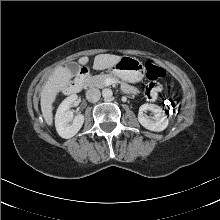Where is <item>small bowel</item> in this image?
I'll list each match as a JSON object with an SVG mask.
<instances>
[{"label":"small bowel","instance_id":"small-bowel-1","mask_svg":"<svg viewBox=\"0 0 220 220\" xmlns=\"http://www.w3.org/2000/svg\"><path fill=\"white\" fill-rule=\"evenodd\" d=\"M162 90L161 86L156 83H149L147 85L146 97L150 100L156 99L158 93Z\"/></svg>","mask_w":220,"mask_h":220}]
</instances>
